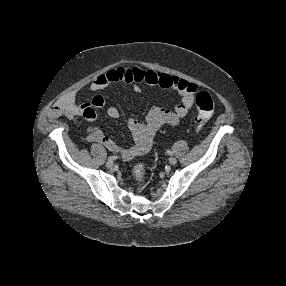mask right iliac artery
<instances>
[{
  "mask_svg": "<svg viewBox=\"0 0 286 286\" xmlns=\"http://www.w3.org/2000/svg\"><path fill=\"white\" fill-rule=\"evenodd\" d=\"M117 159V156H109L108 161H114Z\"/></svg>",
  "mask_w": 286,
  "mask_h": 286,
  "instance_id": "82829eb1",
  "label": "right iliac artery"
}]
</instances>
